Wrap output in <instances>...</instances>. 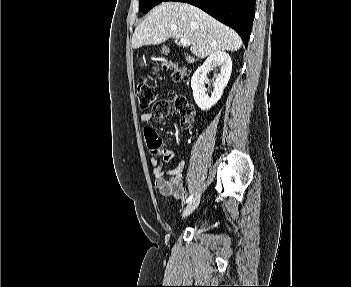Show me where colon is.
Returning a JSON list of instances; mask_svg holds the SVG:
<instances>
[{
  "mask_svg": "<svg viewBox=\"0 0 351 287\" xmlns=\"http://www.w3.org/2000/svg\"><path fill=\"white\" fill-rule=\"evenodd\" d=\"M162 66L163 69L171 72L174 81H182L187 75L186 70L173 61L165 60L162 62ZM136 97L141 110L148 109L153 105V112L157 118L166 116L172 105L181 115L180 124L182 127H189L193 123L194 110L187 99L180 94L172 92L169 100H157L156 86L146 79H142L136 87Z\"/></svg>",
  "mask_w": 351,
  "mask_h": 287,
  "instance_id": "colon-1",
  "label": "colon"
}]
</instances>
